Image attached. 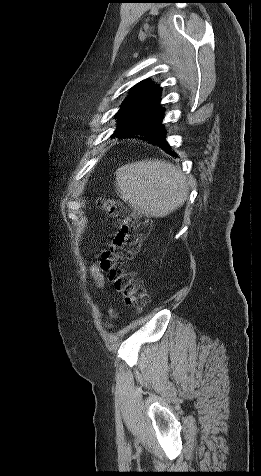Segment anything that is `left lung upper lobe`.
Returning a JSON list of instances; mask_svg holds the SVG:
<instances>
[{
    "instance_id": "left-lung-upper-lobe-1",
    "label": "left lung upper lobe",
    "mask_w": 261,
    "mask_h": 476,
    "mask_svg": "<svg viewBox=\"0 0 261 476\" xmlns=\"http://www.w3.org/2000/svg\"><path fill=\"white\" fill-rule=\"evenodd\" d=\"M160 92L161 88L151 84L147 79L136 84L116 114L119 119L118 128L134 121L151 120L162 116L164 109L159 105Z\"/></svg>"
}]
</instances>
